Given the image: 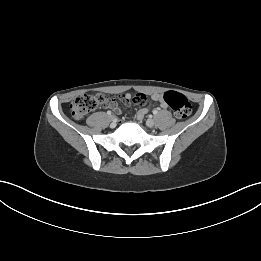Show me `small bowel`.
Masks as SVG:
<instances>
[{
    "mask_svg": "<svg viewBox=\"0 0 261 261\" xmlns=\"http://www.w3.org/2000/svg\"><path fill=\"white\" fill-rule=\"evenodd\" d=\"M120 100L125 101L126 105H137L138 101H141L142 106H147L148 105V96L145 95L143 92H138L135 94V98H130L129 93H122L120 95ZM151 100L155 103H158L161 108L166 109L168 108V104L164 101L163 95L160 93H153L151 95ZM113 108L116 110L117 115H122L123 114V109L119 108V101L117 97H112L107 100V102L103 103V108L104 109H109ZM147 110L146 108H141L137 115L139 118H142L146 114Z\"/></svg>",
    "mask_w": 261,
    "mask_h": 261,
    "instance_id": "c3829d8e",
    "label": "small bowel"
}]
</instances>
